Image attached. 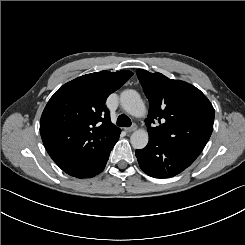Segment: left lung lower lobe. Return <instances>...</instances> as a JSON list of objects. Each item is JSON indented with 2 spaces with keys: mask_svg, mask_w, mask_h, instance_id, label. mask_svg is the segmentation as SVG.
<instances>
[{
  "mask_svg": "<svg viewBox=\"0 0 245 245\" xmlns=\"http://www.w3.org/2000/svg\"><path fill=\"white\" fill-rule=\"evenodd\" d=\"M140 168L155 178L174 177L189 167L197 157L173 145L149 138L147 146L135 151Z\"/></svg>",
  "mask_w": 245,
  "mask_h": 245,
  "instance_id": "left-lung-lower-lobe-1",
  "label": "left lung lower lobe"
}]
</instances>
